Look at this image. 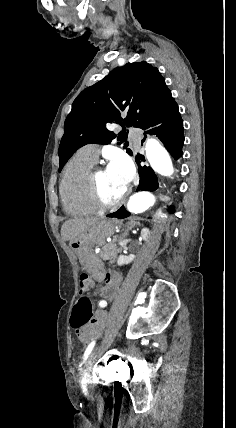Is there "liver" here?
<instances>
[{"mask_svg": "<svg viewBox=\"0 0 236 428\" xmlns=\"http://www.w3.org/2000/svg\"><path fill=\"white\" fill-rule=\"evenodd\" d=\"M97 218H74V220H67L64 222L61 228L62 240H70L74 242L82 232H85L90 226H95L97 224Z\"/></svg>", "mask_w": 236, "mask_h": 428, "instance_id": "1", "label": "liver"}]
</instances>
